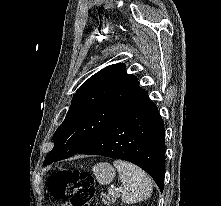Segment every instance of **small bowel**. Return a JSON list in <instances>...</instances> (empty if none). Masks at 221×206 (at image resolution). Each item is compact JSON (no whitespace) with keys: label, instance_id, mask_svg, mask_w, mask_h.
<instances>
[{"label":"small bowel","instance_id":"small-bowel-1","mask_svg":"<svg viewBox=\"0 0 221 206\" xmlns=\"http://www.w3.org/2000/svg\"><path fill=\"white\" fill-rule=\"evenodd\" d=\"M62 206H70V205L66 203V204H63Z\"/></svg>","mask_w":221,"mask_h":206}]
</instances>
